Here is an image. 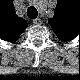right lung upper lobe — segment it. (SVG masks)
Instances as JSON below:
<instances>
[{"label": "right lung upper lobe", "mask_w": 80, "mask_h": 80, "mask_svg": "<svg viewBox=\"0 0 80 80\" xmlns=\"http://www.w3.org/2000/svg\"><path fill=\"white\" fill-rule=\"evenodd\" d=\"M26 26L27 23L16 16L12 5L0 12V36L4 40L14 42Z\"/></svg>", "instance_id": "obj_1"}]
</instances>
